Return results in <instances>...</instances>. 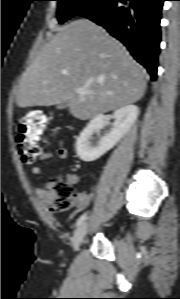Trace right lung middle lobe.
<instances>
[{"label": "right lung middle lobe", "instance_id": "dd1d6c3e", "mask_svg": "<svg viewBox=\"0 0 180 299\" xmlns=\"http://www.w3.org/2000/svg\"><path fill=\"white\" fill-rule=\"evenodd\" d=\"M58 20L62 24L73 16L81 15L104 0H57Z\"/></svg>", "mask_w": 180, "mask_h": 299}]
</instances>
